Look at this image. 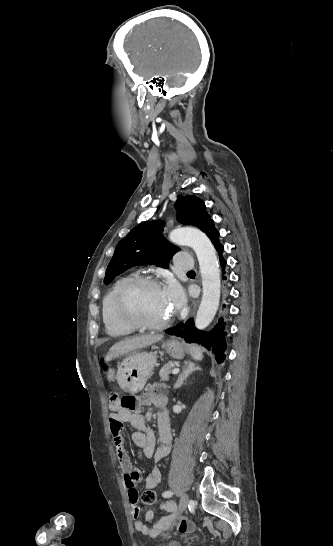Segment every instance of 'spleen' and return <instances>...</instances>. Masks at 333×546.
Returning <instances> with one entry per match:
<instances>
[{
	"label": "spleen",
	"instance_id": "1",
	"mask_svg": "<svg viewBox=\"0 0 333 546\" xmlns=\"http://www.w3.org/2000/svg\"><path fill=\"white\" fill-rule=\"evenodd\" d=\"M190 354L195 360L200 361L203 359L202 349L199 346L191 345Z\"/></svg>",
	"mask_w": 333,
	"mask_h": 546
}]
</instances>
